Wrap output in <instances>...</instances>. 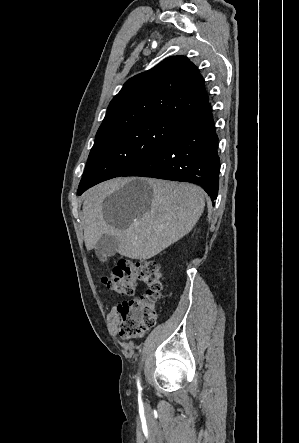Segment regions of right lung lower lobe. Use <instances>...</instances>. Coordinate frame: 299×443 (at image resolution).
I'll use <instances>...</instances> for the list:
<instances>
[{"instance_id":"98d812e1","label":"right lung lower lobe","mask_w":299,"mask_h":443,"mask_svg":"<svg viewBox=\"0 0 299 443\" xmlns=\"http://www.w3.org/2000/svg\"><path fill=\"white\" fill-rule=\"evenodd\" d=\"M217 141L211 105L207 101L183 116L173 136L152 156L123 176L195 183L214 201L219 186Z\"/></svg>"}]
</instances>
